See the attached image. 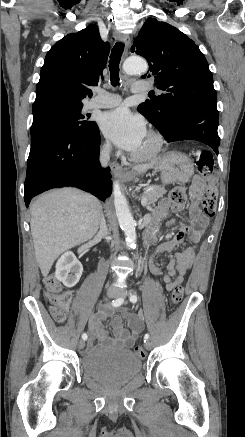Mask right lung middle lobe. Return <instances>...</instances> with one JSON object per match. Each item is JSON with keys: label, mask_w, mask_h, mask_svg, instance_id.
Instances as JSON below:
<instances>
[{"label": "right lung middle lobe", "mask_w": 245, "mask_h": 437, "mask_svg": "<svg viewBox=\"0 0 245 437\" xmlns=\"http://www.w3.org/2000/svg\"><path fill=\"white\" fill-rule=\"evenodd\" d=\"M83 104L52 102L33 109L31 139L49 128H57L69 134L87 132L96 122L88 119L89 115L81 113Z\"/></svg>", "instance_id": "1"}]
</instances>
